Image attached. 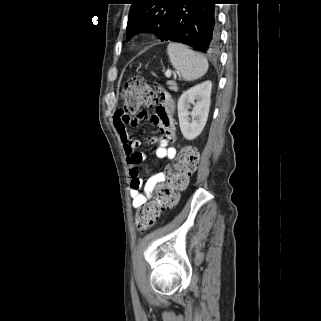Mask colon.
<instances>
[{
	"label": "colon",
	"mask_w": 321,
	"mask_h": 321,
	"mask_svg": "<svg viewBox=\"0 0 321 321\" xmlns=\"http://www.w3.org/2000/svg\"><path fill=\"white\" fill-rule=\"evenodd\" d=\"M123 99L122 110L133 114L153 104L158 98L156 91L146 79L133 77L125 84ZM198 163L199 153L195 147L186 145L180 149L175 162L167 168L168 182L158 188L156 197L152 201L137 211L135 222L139 230L151 228L163 212L177 204L180 192L186 188Z\"/></svg>",
	"instance_id": "colon-1"
}]
</instances>
